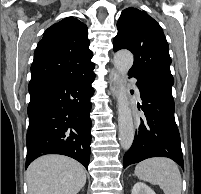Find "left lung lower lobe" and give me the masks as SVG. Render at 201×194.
Returning a JSON list of instances; mask_svg holds the SVG:
<instances>
[{"label":"left lung lower lobe","instance_id":"1","mask_svg":"<svg viewBox=\"0 0 201 194\" xmlns=\"http://www.w3.org/2000/svg\"><path fill=\"white\" fill-rule=\"evenodd\" d=\"M137 80L144 116L140 118L132 146L124 155L123 167L162 156L171 158L184 168L180 135L174 118L172 87L158 81Z\"/></svg>","mask_w":201,"mask_h":194}]
</instances>
